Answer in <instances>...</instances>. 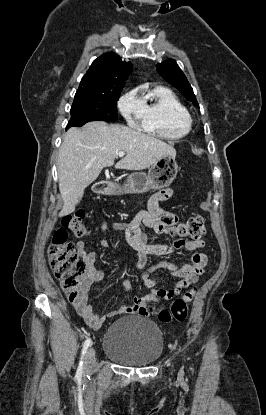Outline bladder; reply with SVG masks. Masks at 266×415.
I'll return each mask as SVG.
<instances>
[{
  "instance_id": "bladder-1",
  "label": "bladder",
  "mask_w": 266,
  "mask_h": 415,
  "mask_svg": "<svg viewBox=\"0 0 266 415\" xmlns=\"http://www.w3.org/2000/svg\"><path fill=\"white\" fill-rule=\"evenodd\" d=\"M164 342L159 327L149 319L132 316L112 323L103 340V351L112 360L129 366H146L162 355Z\"/></svg>"
}]
</instances>
